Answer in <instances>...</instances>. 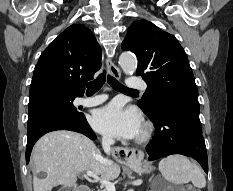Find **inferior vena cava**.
<instances>
[{"mask_svg":"<svg viewBox=\"0 0 233 191\" xmlns=\"http://www.w3.org/2000/svg\"><path fill=\"white\" fill-rule=\"evenodd\" d=\"M114 144V140L110 137H104L102 139V147H103V150L105 151L106 154H110V151H111V145ZM102 163H104L105 165H111L112 164V161L111 160H108V159H102L101 161Z\"/></svg>","mask_w":233,"mask_h":191,"instance_id":"obj_1","label":"inferior vena cava"}]
</instances>
